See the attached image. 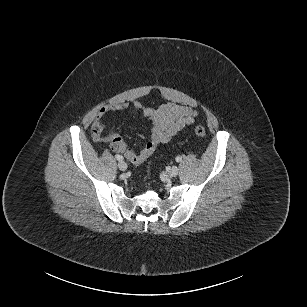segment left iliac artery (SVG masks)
I'll return each instance as SVG.
<instances>
[{"label":"left iliac artery","instance_id":"left-iliac-artery-1","mask_svg":"<svg viewBox=\"0 0 307 307\" xmlns=\"http://www.w3.org/2000/svg\"><path fill=\"white\" fill-rule=\"evenodd\" d=\"M175 160H176L177 162H181L182 157H181V156H177Z\"/></svg>","mask_w":307,"mask_h":307}]
</instances>
